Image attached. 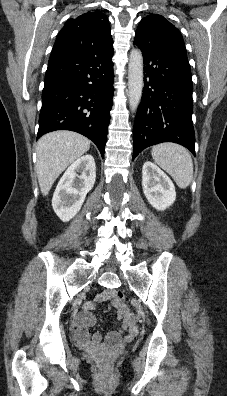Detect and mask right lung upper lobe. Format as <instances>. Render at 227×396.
Masks as SVG:
<instances>
[{"instance_id":"obj_1","label":"right lung upper lobe","mask_w":227,"mask_h":396,"mask_svg":"<svg viewBox=\"0 0 227 396\" xmlns=\"http://www.w3.org/2000/svg\"><path fill=\"white\" fill-rule=\"evenodd\" d=\"M113 44L107 16L89 11L71 18L55 41L49 62L78 57Z\"/></svg>"}]
</instances>
